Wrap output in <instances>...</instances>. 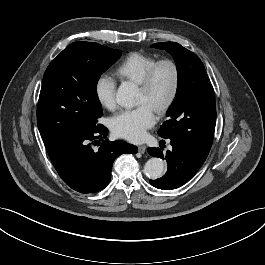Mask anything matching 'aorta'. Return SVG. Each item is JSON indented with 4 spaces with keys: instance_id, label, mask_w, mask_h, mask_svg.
<instances>
[{
    "instance_id": "obj_1",
    "label": "aorta",
    "mask_w": 265,
    "mask_h": 265,
    "mask_svg": "<svg viewBox=\"0 0 265 265\" xmlns=\"http://www.w3.org/2000/svg\"><path fill=\"white\" fill-rule=\"evenodd\" d=\"M137 88L134 84L125 82L116 92V102L126 108L133 107L137 102ZM165 172V165L160 158H150L144 165V173L151 179L160 178Z\"/></svg>"
}]
</instances>
